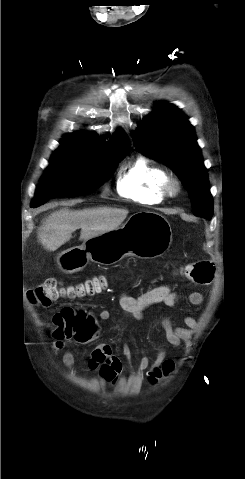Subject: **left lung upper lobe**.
<instances>
[{
	"mask_svg": "<svg viewBox=\"0 0 245 479\" xmlns=\"http://www.w3.org/2000/svg\"><path fill=\"white\" fill-rule=\"evenodd\" d=\"M194 128L185 115L171 104L159 102L135 131L137 149L170 168L188 190L193 213L210 219L213 200Z\"/></svg>",
	"mask_w": 245,
	"mask_h": 479,
	"instance_id": "5c2ea615",
	"label": "left lung upper lobe"
}]
</instances>
